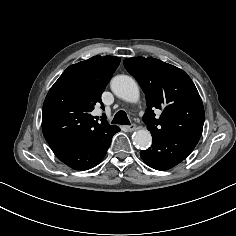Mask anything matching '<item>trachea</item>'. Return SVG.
<instances>
[{"label": "trachea", "instance_id": "trachea-1", "mask_svg": "<svg viewBox=\"0 0 236 236\" xmlns=\"http://www.w3.org/2000/svg\"><path fill=\"white\" fill-rule=\"evenodd\" d=\"M112 124L130 125L126 112L123 110L118 111L112 120Z\"/></svg>", "mask_w": 236, "mask_h": 236}]
</instances>
